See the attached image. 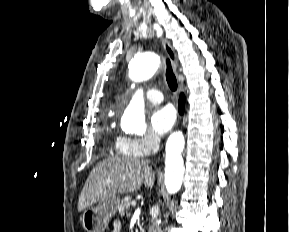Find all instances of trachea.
<instances>
[{
	"label": "trachea",
	"mask_w": 289,
	"mask_h": 232,
	"mask_svg": "<svg viewBox=\"0 0 289 232\" xmlns=\"http://www.w3.org/2000/svg\"><path fill=\"white\" fill-rule=\"evenodd\" d=\"M166 81L168 83L169 88L172 91H175L177 89V80L176 77L173 73L172 67H171V62L169 59H166Z\"/></svg>",
	"instance_id": "3493384b"
}]
</instances>
